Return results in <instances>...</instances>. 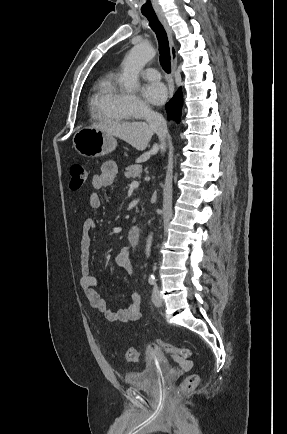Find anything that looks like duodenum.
I'll return each instance as SVG.
<instances>
[{
	"instance_id": "1",
	"label": "duodenum",
	"mask_w": 287,
	"mask_h": 434,
	"mask_svg": "<svg viewBox=\"0 0 287 434\" xmlns=\"http://www.w3.org/2000/svg\"><path fill=\"white\" fill-rule=\"evenodd\" d=\"M127 238L131 244H137L140 240V228L136 225L131 226L128 230Z\"/></svg>"
}]
</instances>
